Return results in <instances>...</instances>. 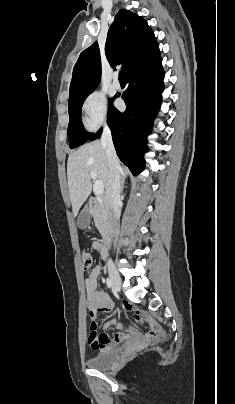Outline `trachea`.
<instances>
[{
	"mask_svg": "<svg viewBox=\"0 0 235 404\" xmlns=\"http://www.w3.org/2000/svg\"><path fill=\"white\" fill-rule=\"evenodd\" d=\"M125 72L124 71H120L119 72V81H125Z\"/></svg>",
	"mask_w": 235,
	"mask_h": 404,
	"instance_id": "obj_1",
	"label": "trachea"
}]
</instances>
